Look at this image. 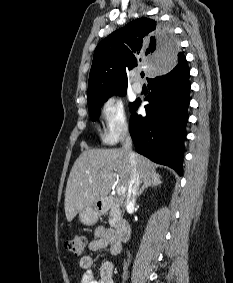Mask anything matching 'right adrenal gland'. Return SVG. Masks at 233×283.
<instances>
[{
  "label": "right adrenal gland",
  "mask_w": 233,
  "mask_h": 283,
  "mask_svg": "<svg viewBox=\"0 0 233 283\" xmlns=\"http://www.w3.org/2000/svg\"><path fill=\"white\" fill-rule=\"evenodd\" d=\"M161 183H162V181H161V177H160V175H155L153 178H152V180L151 181H149V182H146V183H144L143 184V186H142V188L139 190V192L137 193V197H139L142 193H143V191L145 190V189H147V188H149V187H157V186H160L161 185Z\"/></svg>",
  "instance_id": "right-adrenal-gland-1"
}]
</instances>
